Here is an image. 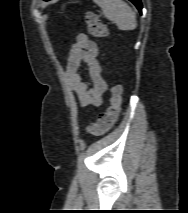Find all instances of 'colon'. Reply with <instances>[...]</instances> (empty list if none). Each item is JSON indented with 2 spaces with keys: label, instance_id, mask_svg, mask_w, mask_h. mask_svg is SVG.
<instances>
[{
  "label": "colon",
  "instance_id": "1",
  "mask_svg": "<svg viewBox=\"0 0 188 213\" xmlns=\"http://www.w3.org/2000/svg\"><path fill=\"white\" fill-rule=\"evenodd\" d=\"M84 18L88 31L92 36L97 38L106 37V27L95 13L88 11L85 13ZM122 103L123 89L120 85L113 83L109 108L99 114L96 122L87 127V131L94 135H101L110 130L120 116Z\"/></svg>",
  "mask_w": 188,
  "mask_h": 213
}]
</instances>
